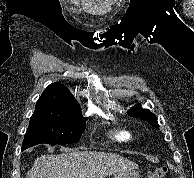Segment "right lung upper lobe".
Returning <instances> with one entry per match:
<instances>
[{"instance_id": "cb5924a9", "label": "right lung upper lobe", "mask_w": 194, "mask_h": 178, "mask_svg": "<svg viewBox=\"0 0 194 178\" xmlns=\"http://www.w3.org/2000/svg\"><path fill=\"white\" fill-rule=\"evenodd\" d=\"M37 104H47L73 113H81L77 100L61 83L50 84L42 93Z\"/></svg>"}]
</instances>
